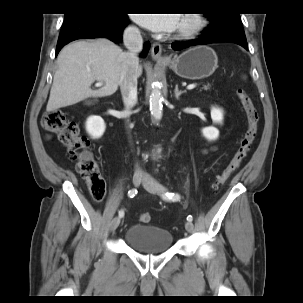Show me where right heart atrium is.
Here are the masks:
<instances>
[{
    "instance_id": "obj_1",
    "label": "right heart atrium",
    "mask_w": 303,
    "mask_h": 303,
    "mask_svg": "<svg viewBox=\"0 0 303 303\" xmlns=\"http://www.w3.org/2000/svg\"><path fill=\"white\" fill-rule=\"evenodd\" d=\"M130 29H131V30H134V28H132V27H131Z\"/></svg>"
}]
</instances>
